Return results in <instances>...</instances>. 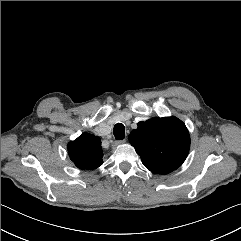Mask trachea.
<instances>
[{
	"label": "trachea",
	"instance_id": "3493384b",
	"mask_svg": "<svg viewBox=\"0 0 241 241\" xmlns=\"http://www.w3.org/2000/svg\"><path fill=\"white\" fill-rule=\"evenodd\" d=\"M114 136L117 140L125 138V127L122 123H118L114 126Z\"/></svg>",
	"mask_w": 241,
	"mask_h": 241
}]
</instances>
